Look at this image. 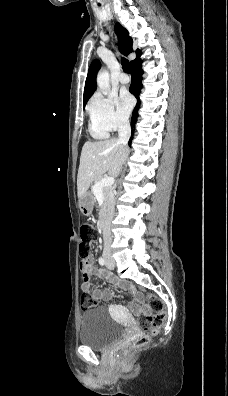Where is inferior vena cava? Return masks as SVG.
Instances as JSON below:
<instances>
[{
	"mask_svg": "<svg viewBox=\"0 0 228 396\" xmlns=\"http://www.w3.org/2000/svg\"><path fill=\"white\" fill-rule=\"evenodd\" d=\"M130 136H131V127L129 121L121 120L118 124V137H119L118 141L126 148L127 152H128L127 143L129 141ZM114 210H115V197H114V193L111 192L107 202V224L103 230L105 254H111L112 235H111L110 223L114 216Z\"/></svg>",
	"mask_w": 228,
	"mask_h": 396,
	"instance_id": "602c4592",
	"label": "inferior vena cava"
}]
</instances>
